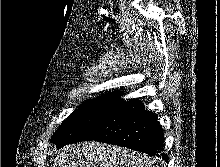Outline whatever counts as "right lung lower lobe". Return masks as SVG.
Wrapping results in <instances>:
<instances>
[{
    "label": "right lung lower lobe",
    "mask_w": 220,
    "mask_h": 167,
    "mask_svg": "<svg viewBox=\"0 0 220 167\" xmlns=\"http://www.w3.org/2000/svg\"><path fill=\"white\" fill-rule=\"evenodd\" d=\"M95 140L124 146L156 156L168 162L164 151V134L157 116L145 110L141 101L118 98L105 118L83 140Z\"/></svg>",
    "instance_id": "98d812e1"
}]
</instances>
